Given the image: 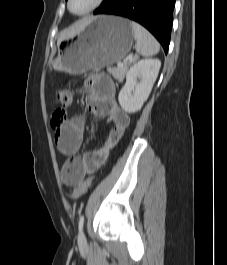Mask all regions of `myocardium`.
<instances>
[{"mask_svg": "<svg viewBox=\"0 0 227 265\" xmlns=\"http://www.w3.org/2000/svg\"><path fill=\"white\" fill-rule=\"evenodd\" d=\"M105 0H95L94 3L89 7L87 8L86 10L84 11H81V12H74L72 9H71V2L72 0H67V9L68 11L75 15V16H84V15H87L91 12H93L94 10H96L98 7L101 6V4L104 2Z\"/></svg>", "mask_w": 227, "mask_h": 265, "instance_id": "myocardium-1", "label": "myocardium"}]
</instances>
